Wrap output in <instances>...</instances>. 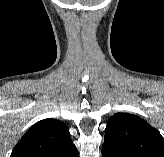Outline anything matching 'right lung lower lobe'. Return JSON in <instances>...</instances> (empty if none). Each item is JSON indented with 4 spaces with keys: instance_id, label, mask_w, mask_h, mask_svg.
<instances>
[{
    "instance_id": "1",
    "label": "right lung lower lobe",
    "mask_w": 164,
    "mask_h": 157,
    "mask_svg": "<svg viewBox=\"0 0 164 157\" xmlns=\"http://www.w3.org/2000/svg\"><path fill=\"white\" fill-rule=\"evenodd\" d=\"M54 157H79V153L75 145L73 144L68 148H66L65 150L58 153L57 155H55Z\"/></svg>"
}]
</instances>
